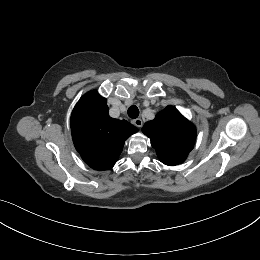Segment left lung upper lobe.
Listing matches in <instances>:
<instances>
[{
	"label": "left lung upper lobe",
	"instance_id": "5c2ea615",
	"mask_svg": "<svg viewBox=\"0 0 260 260\" xmlns=\"http://www.w3.org/2000/svg\"><path fill=\"white\" fill-rule=\"evenodd\" d=\"M142 132L150 138L159 160L168 166L184 162L196 141V127L170 105L145 123Z\"/></svg>",
	"mask_w": 260,
	"mask_h": 260
}]
</instances>
